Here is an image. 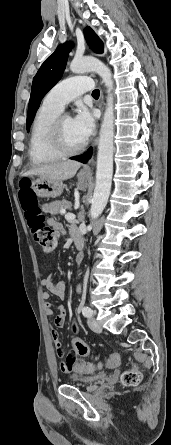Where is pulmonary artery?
Segmentation results:
<instances>
[{
    "mask_svg": "<svg viewBox=\"0 0 171 445\" xmlns=\"http://www.w3.org/2000/svg\"><path fill=\"white\" fill-rule=\"evenodd\" d=\"M93 83L90 77L79 76L67 78L55 85L44 97L46 105L63 110L64 106L77 96L91 91Z\"/></svg>",
    "mask_w": 171,
    "mask_h": 445,
    "instance_id": "pulmonary-artery-1",
    "label": "pulmonary artery"
}]
</instances>
